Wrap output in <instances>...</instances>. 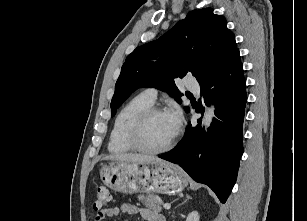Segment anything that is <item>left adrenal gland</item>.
<instances>
[{"mask_svg": "<svg viewBox=\"0 0 307 221\" xmlns=\"http://www.w3.org/2000/svg\"><path fill=\"white\" fill-rule=\"evenodd\" d=\"M191 199V197L189 196V195H186V199L184 200V202H182L181 204H184L185 202H187L188 200H190ZM181 204H179V205H181Z\"/></svg>", "mask_w": 307, "mask_h": 221, "instance_id": "a2214340", "label": "left adrenal gland"}]
</instances>
